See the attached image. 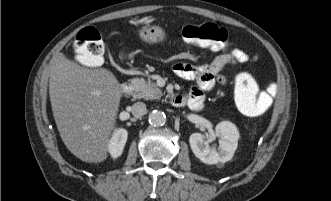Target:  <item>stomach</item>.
Returning a JSON list of instances; mask_svg holds the SVG:
<instances>
[{
  "instance_id": "obj_1",
  "label": "stomach",
  "mask_w": 331,
  "mask_h": 201,
  "mask_svg": "<svg viewBox=\"0 0 331 201\" xmlns=\"http://www.w3.org/2000/svg\"><path fill=\"white\" fill-rule=\"evenodd\" d=\"M139 37L150 44L162 42L165 39L164 30L156 25L147 24L138 30Z\"/></svg>"
}]
</instances>
